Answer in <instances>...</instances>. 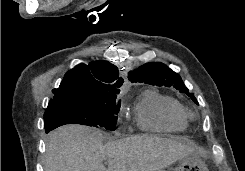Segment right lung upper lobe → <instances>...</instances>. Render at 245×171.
Segmentation results:
<instances>
[{
  "mask_svg": "<svg viewBox=\"0 0 245 171\" xmlns=\"http://www.w3.org/2000/svg\"><path fill=\"white\" fill-rule=\"evenodd\" d=\"M122 83L118 68L109 62L79 64L65 74L59 88L52 90L55 96L49 103L114 96L120 92Z\"/></svg>",
  "mask_w": 245,
  "mask_h": 171,
  "instance_id": "1",
  "label": "right lung upper lobe"
}]
</instances>
